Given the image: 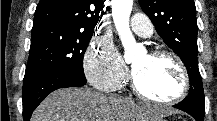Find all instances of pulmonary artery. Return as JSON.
Masks as SVG:
<instances>
[{
	"mask_svg": "<svg viewBox=\"0 0 217 121\" xmlns=\"http://www.w3.org/2000/svg\"><path fill=\"white\" fill-rule=\"evenodd\" d=\"M130 26L141 37H150L154 31L151 21L141 13H136L131 17Z\"/></svg>",
	"mask_w": 217,
	"mask_h": 121,
	"instance_id": "obj_1",
	"label": "pulmonary artery"
}]
</instances>
